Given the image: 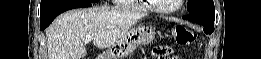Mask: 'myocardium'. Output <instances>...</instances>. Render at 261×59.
Segmentation results:
<instances>
[{
  "mask_svg": "<svg viewBox=\"0 0 261 59\" xmlns=\"http://www.w3.org/2000/svg\"><path fill=\"white\" fill-rule=\"evenodd\" d=\"M150 5V7L158 12V13H162V14H171V13H174V12H177L178 10H180V8L182 7V4L184 2V0H179V3L176 7L172 8V9H165V8H160L156 5V3L153 1V0H149L147 1Z\"/></svg>",
  "mask_w": 261,
  "mask_h": 59,
  "instance_id": "1",
  "label": "myocardium"
}]
</instances>
